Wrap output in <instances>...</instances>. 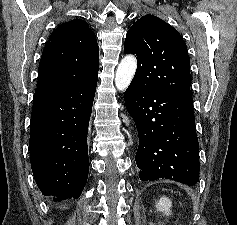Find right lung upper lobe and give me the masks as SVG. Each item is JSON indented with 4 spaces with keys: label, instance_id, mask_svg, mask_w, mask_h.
I'll return each mask as SVG.
<instances>
[{
    "label": "right lung upper lobe",
    "instance_id": "obj_1",
    "mask_svg": "<svg viewBox=\"0 0 237 225\" xmlns=\"http://www.w3.org/2000/svg\"><path fill=\"white\" fill-rule=\"evenodd\" d=\"M99 47L80 19L58 26L49 37L38 69L34 98L60 95L98 79Z\"/></svg>",
    "mask_w": 237,
    "mask_h": 225
}]
</instances>
